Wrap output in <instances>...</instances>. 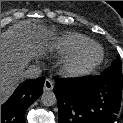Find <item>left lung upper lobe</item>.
<instances>
[{"mask_svg":"<svg viewBox=\"0 0 123 123\" xmlns=\"http://www.w3.org/2000/svg\"><path fill=\"white\" fill-rule=\"evenodd\" d=\"M102 75L123 81L122 75V62L119 57H117L111 64L109 68L104 70Z\"/></svg>","mask_w":123,"mask_h":123,"instance_id":"1","label":"left lung upper lobe"}]
</instances>
